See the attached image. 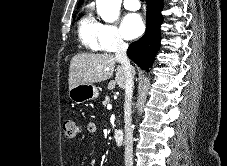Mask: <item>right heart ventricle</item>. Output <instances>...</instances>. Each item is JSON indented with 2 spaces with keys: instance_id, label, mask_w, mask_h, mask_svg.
<instances>
[{
  "instance_id": "right-heart-ventricle-1",
  "label": "right heart ventricle",
  "mask_w": 227,
  "mask_h": 166,
  "mask_svg": "<svg viewBox=\"0 0 227 166\" xmlns=\"http://www.w3.org/2000/svg\"><path fill=\"white\" fill-rule=\"evenodd\" d=\"M101 23L90 13L86 12L78 22L79 41L89 51L97 52L102 50L100 40Z\"/></svg>"
}]
</instances>
